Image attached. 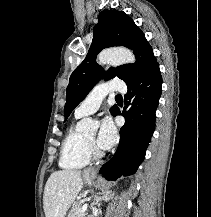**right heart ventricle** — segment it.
<instances>
[{
  "mask_svg": "<svg viewBox=\"0 0 211 217\" xmlns=\"http://www.w3.org/2000/svg\"><path fill=\"white\" fill-rule=\"evenodd\" d=\"M79 118L76 116V119ZM90 160L86 138L72 124L62 142L59 165L64 169H80L88 165Z\"/></svg>",
  "mask_w": 211,
  "mask_h": 217,
  "instance_id": "e07e8e85",
  "label": "right heart ventricle"
}]
</instances>
